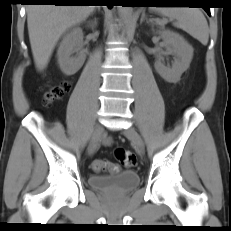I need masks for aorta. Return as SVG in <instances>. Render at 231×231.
<instances>
[{
    "label": "aorta",
    "instance_id": "obj_1",
    "mask_svg": "<svg viewBox=\"0 0 231 231\" xmlns=\"http://www.w3.org/2000/svg\"><path fill=\"white\" fill-rule=\"evenodd\" d=\"M118 12L120 17L123 20H129L131 13H132V8L131 7H123V6H118Z\"/></svg>",
    "mask_w": 231,
    "mask_h": 231
}]
</instances>
